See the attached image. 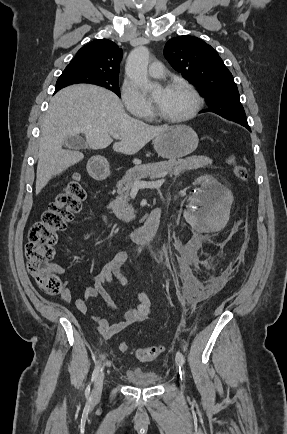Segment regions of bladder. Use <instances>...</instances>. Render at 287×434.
<instances>
[{
  "label": "bladder",
  "mask_w": 287,
  "mask_h": 434,
  "mask_svg": "<svg viewBox=\"0 0 287 434\" xmlns=\"http://www.w3.org/2000/svg\"><path fill=\"white\" fill-rule=\"evenodd\" d=\"M123 378L127 383L136 387H153L161 381L157 372L146 371L139 367L127 368L123 373Z\"/></svg>",
  "instance_id": "obj_1"
}]
</instances>
